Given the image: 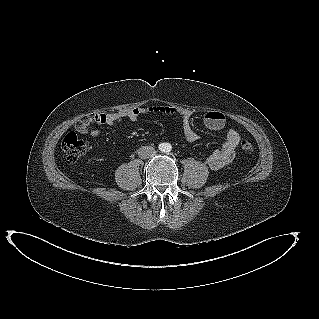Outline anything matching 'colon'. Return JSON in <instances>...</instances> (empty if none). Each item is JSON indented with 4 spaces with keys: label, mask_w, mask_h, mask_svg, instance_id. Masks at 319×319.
I'll list each match as a JSON object with an SVG mask.
<instances>
[{
    "label": "colon",
    "mask_w": 319,
    "mask_h": 319,
    "mask_svg": "<svg viewBox=\"0 0 319 319\" xmlns=\"http://www.w3.org/2000/svg\"><path fill=\"white\" fill-rule=\"evenodd\" d=\"M86 123L89 121L88 117L81 119ZM62 150L64 159L69 163H74L80 159L88 149V143L84 138L79 137L75 132H69L62 140ZM240 148L245 153L253 151V145L249 140L242 139L240 141Z\"/></svg>",
    "instance_id": "colon-1"
}]
</instances>
